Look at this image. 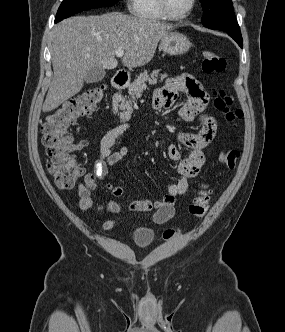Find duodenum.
Instances as JSON below:
<instances>
[{
	"label": "duodenum",
	"mask_w": 285,
	"mask_h": 332,
	"mask_svg": "<svg viewBox=\"0 0 285 332\" xmlns=\"http://www.w3.org/2000/svg\"><path fill=\"white\" fill-rule=\"evenodd\" d=\"M128 78L124 72H118L113 77V86L117 90H122L127 86Z\"/></svg>",
	"instance_id": "obj_1"
}]
</instances>
